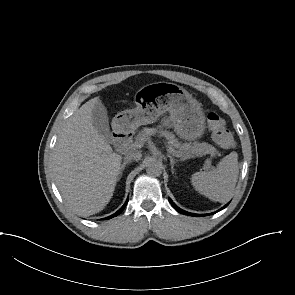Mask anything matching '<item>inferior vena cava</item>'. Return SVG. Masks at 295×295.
I'll return each mask as SVG.
<instances>
[{
	"mask_svg": "<svg viewBox=\"0 0 295 295\" xmlns=\"http://www.w3.org/2000/svg\"><path fill=\"white\" fill-rule=\"evenodd\" d=\"M141 157H142V154L140 152H130L124 157V159L125 161H131V160L138 161L141 159Z\"/></svg>",
	"mask_w": 295,
	"mask_h": 295,
	"instance_id": "obj_1",
	"label": "inferior vena cava"
}]
</instances>
